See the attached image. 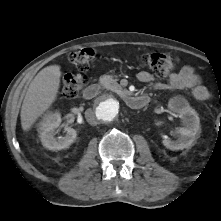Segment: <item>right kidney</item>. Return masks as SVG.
Returning <instances> with one entry per match:
<instances>
[{
	"instance_id": "obj_1",
	"label": "right kidney",
	"mask_w": 221,
	"mask_h": 221,
	"mask_svg": "<svg viewBox=\"0 0 221 221\" xmlns=\"http://www.w3.org/2000/svg\"><path fill=\"white\" fill-rule=\"evenodd\" d=\"M61 126L59 112L49 113L40 124V138L42 145L49 150H61L69 147L76 139V131L68 126L64 127L65 136L55 137L56 129Z\"/></svg>"
}]
</instances>
